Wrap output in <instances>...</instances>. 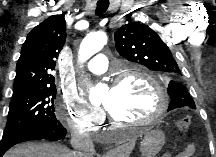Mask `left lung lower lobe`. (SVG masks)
<instances>
[{"label":"left lung lower lobe","instance_id":"1","mask_svg":"<svg viewBox=\"0 0 216 157\" xmlns=\"http://www.w3.org/2000/svg\"><path fill=\"white\" fill-rule=\"evenodd\" d=\"M179 107H184V106L182 103L174 102V103L169 105L168 110H172V109L179 108Z\"/></svg>","mask_w":216,"mask_h":157}]
</instances>
